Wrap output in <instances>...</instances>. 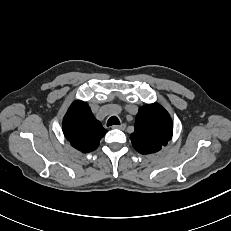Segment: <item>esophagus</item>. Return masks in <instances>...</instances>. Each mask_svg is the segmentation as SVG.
Returning <instances> with one entry per match:
<instances>
[{
    "label": "esophagus",
    "instance_id": "34e87169",
    "mask_svg": "<svg viewBox=\"0 0 231 231\" xmlns=\"http://www.w3.org/2000/svg\"><path fill=\"white\" fill-rule=\"evenodd\" d=\"M112 128L124 130L126 128V124L123 123L121 125H114V126H112Z\"/></svg>",
    "mask_w": 231,
    "mask_h": 231
}]
</instances>
